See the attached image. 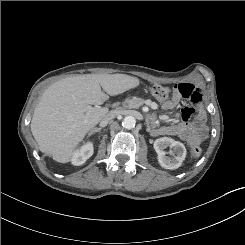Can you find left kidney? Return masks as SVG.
Instances as JSON below:
<instances>
[{
	"instance_id": "5707ae66",
	"label": "left kidney",
	"mask_w": 245,
	"mask_h": 245,
	"mask_svg": "<svg viewBox=\"0 0 245 245\" xmlns=\"http://www.w3.org/2000/svg\"><path fill=\"white\" fill-rule=\"evenodd\" d=\"M167 147L174 148L176 156H166L164 151ZM154 149L157 153V159L161 167L169 170H175L179 168L186 158V148L179 142L169 137H161L154 141Z\"/></svg>"
}]
</instances>
